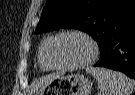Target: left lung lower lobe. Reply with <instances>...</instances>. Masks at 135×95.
<instances>
[{"label": "left lung lower lobe", "mask_w": 135, "mask_h": 95, "mask_svg": "<svg viewBox=\"0 0 135 95\" xmlns=\"http://www.w3.org/2000/svg\"><path fill=\"white\" fill-rule=\"evenodd\" d=\"M94 66L121 71L135 80V17L105 39Z\"/></svg>", "instance_id": "obj_1"}]
</instances>
